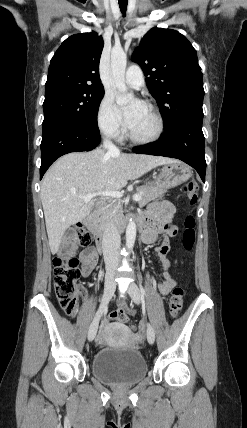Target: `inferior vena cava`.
I'll use <instances>...</instances> for the list:
<instances>
[{
	"label": "inferior vena cava",
	"mask_w": 247,
	"mask_h": 428,
	"mask_svg": "<svg viewBox=\"0 0 247 428\" xmlns=\"http://www.w3.org/2000/svg\"><path fill=\"white\" fill-rule=\"evenodd\" d=\"M103 147L110 154H119V149L107 138L103 140ZM103 256L106 269L116 268L119 264L120 235L111 218H108L102 238Z\"/></svg>",
	"instance_id": "1"
}]
</instances>
